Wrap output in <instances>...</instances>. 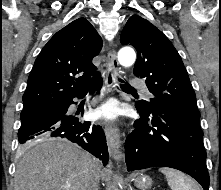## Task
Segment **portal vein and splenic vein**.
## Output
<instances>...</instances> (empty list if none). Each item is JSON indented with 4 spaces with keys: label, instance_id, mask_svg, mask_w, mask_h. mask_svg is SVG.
Wrapping results in <instances>:
<instances>
[{
    "label": "portal vein and splenic vein",
    "instance_id": "18ae733b",
    "mask_svg": "<svg viewBox=\"0 0 221 190\" xmlns=\"http://www.w3.org/2000/svg\"><path fill=\"white\" fill-rule=\"evenodd\" d=\"M71 185L70 184H67V187H70Z\"/></svg>",
    "mask_w": 221,
    "mask_h": 190
}]
</instances>
